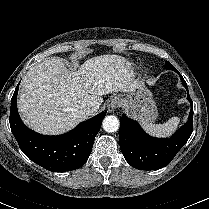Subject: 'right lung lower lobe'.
<instances>
[{
    "instance_id": "obj_1",
    "label": "right lung lower lobe",
    "mask_w": 209,
    "mask_h": 209,
    "mask_svg": "<svg viewBox=\"0 0 209 209\" xmlns=\"http://www.w3.org/2000/svg\"><path fill=\"white\" fill-rule=\"evenodd\" d=\"M17 85L11 99L10 127L20 149L33 162L49 171H70L83 166L92 151L95 136L100 130L102 112L80 123L70 132L60 136H46L27 128L17 111Z\"/></svg>"
}]
</instances>
